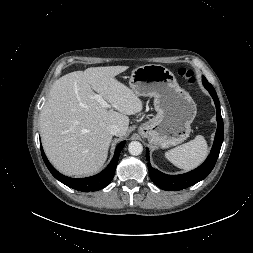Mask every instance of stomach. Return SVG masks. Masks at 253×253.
I'll return each instance as SVG.
<instances>
[{
  "mask_svg": "<svg viewBox=\"0 0 253 253\" xmlns=\"http://www.w3.org/2000/svg\"><path fill=\"white\" fill-rule=\"evenodd\" d=\"M129 85L138 96L154 97L157 114L139 127L142 137L161 148L176 146L189 137L196 104L169 69L160 64L138 66Z\"/></svg>",
  "mask_w": 253,
  "mask_h": 253,
  "instance_id": "1",
  "label": "stomach"
}]
</instances>
